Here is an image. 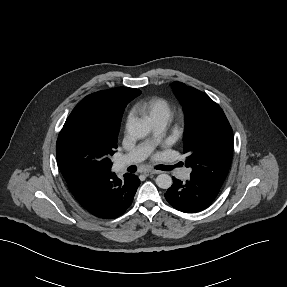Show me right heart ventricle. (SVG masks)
I'll return each instance as SVG.
<instances>
[{"label": "right heart ventricle", "mask_w": 287, "mask_h": 287, "mask_svg": "<svg viewBox=\"0 0 287 287\" xmlns=\"http://www.w3.org/2000/svg\"><path fill=\"white\" fill-rule=\"evenodd\" d=\"M134 111L151 124L161 122L168 124L172 118V107L168 100L161 97H150L137 102Z\"/></svg>", "instance_id": "obj_1"}]
</instances>
